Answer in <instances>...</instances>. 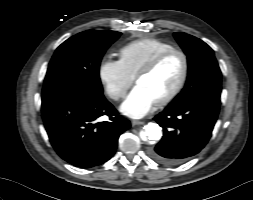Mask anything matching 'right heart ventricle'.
<instances>
[{"label":"right heart ventricle","instance_id":"1","mask_svg":"<svg viewBox=\"0 0 253 200\" xmlns=\"http://www.w3.org/2000/svg\"><path fill=\"white\" fill-rule=\"evenodd\" d=\"M174 49L164 41L155 38H142L131 41L119 50V61L131 77L159 54Z\"/></svg>","mask_w":253,"mask_h":200}]
</instances>
